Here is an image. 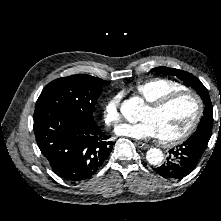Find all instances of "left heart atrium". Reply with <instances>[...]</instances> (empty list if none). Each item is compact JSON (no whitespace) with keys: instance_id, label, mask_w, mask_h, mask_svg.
<instances>
[{"instance_id":"left-heart-atrium-1","label":"left heart atrium","mask_w":221,"mask_h":221,"mask_svg":"<svg viewBox=\"0 0 221 221\" xmlns=\"http://www.w3.org/2000/svg\"><path fill=\"white\" fill-rule=\"evenodd\" d=\"M118 136L143 140L158 137L157 130L150 120H142L137 123H122L115 128ZM159 138V137H158Z\"/></svg>"}]
</instances>
